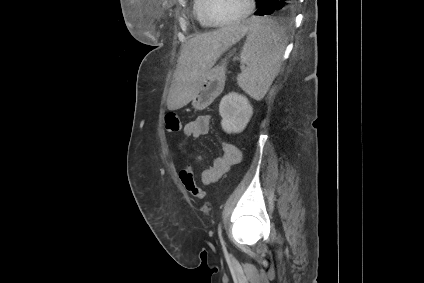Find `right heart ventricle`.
<instances>
[{
	"label": "right heart ventricle",
	"instance_id": "obj_1",
	"mask_svg": "<svg viewBox=\"0 0 424 283\" xmlns=\"http://www.w3.org/2000/svg\"><path fill=\"white\" fill-rule=\"evenodd\" d=\"M205 0H193V15L196 21L204 28H209L211 25L206 21L204 16Z\"/></svg>",
	"mask_w": 424,
	"mask_h": 283
}]
</instances>
